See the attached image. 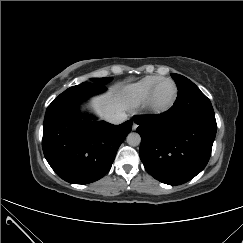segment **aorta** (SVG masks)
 <instances>
[{"label":"aorta","mask_w":243,"mask_h":243,"mask_svg":"<svg viewBox=\"0 0 243 243\" xmlns=\"http://www.w3.org/2000/svg\"><path fill=\"white\" fill-rule=\"evenodd\" d=\"M141 142V137L138 133L131 132L127 136V143L130 146H138Z\"/></svg>","instance_id":"1"}]
</instances>
